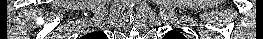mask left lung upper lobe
I'll list each match as a JSON object with an SVG mask.
<instances>
[{"instance_id":"5c2ea615","label":"left lung upper lobe","mask_w":263,"mask_h":39,"mask_svg":"<svg viewBox=\"0 0 263 39\" xmlns=\"http://www.w3.org/2000/svg\"><path fill=\"white\" fill-rule=\"evenodd\" d=\"M164 39H186V37L178 31H169Z\"/></svg>"}]
</instances>
